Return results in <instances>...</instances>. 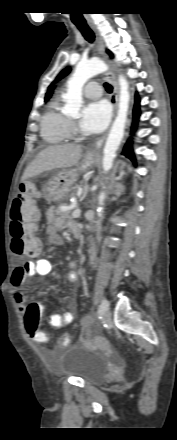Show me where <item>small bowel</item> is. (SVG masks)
Listing matches in <instances>:
<instances>
[{"label":"small bowel","mask_w":177,"mask_h":440,"mask_svg":"<svg viewBox=\"0 0 177 440\" xmlns=\"http://www.w3.org/2000/svg\"><path fill=\"white\" fill-rule=\"evenodd\" d=\"M45 218L47 226L45 233L49 244L59 246L63 244V238L59 234V231L64 228H72L75 223L66 221L63 217H59L55 213L54 207H49L45 211ZM39 243V241H38ZM40 250V243L39 249ZM77 263L70 261L68 264V281L72 284L77 283L78 274L76 272ZM52 265L47 259L39 258L34 261H27L17 266L11 276V286L14 289V300L19 306V310L22 314L26 311V295L21 290L27 278L34 277L36 275H47L51 272ZM74 319V314L71 311H66L61 314H52L50 316V324L54 327H62L70 324ZM48 340V339H47ZM47 342V341H46ZM44 342V343H46ZM39 343V342H38Z\"/></svg>","instance_id":"c3829d8e"}]
</instances>
